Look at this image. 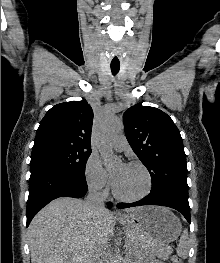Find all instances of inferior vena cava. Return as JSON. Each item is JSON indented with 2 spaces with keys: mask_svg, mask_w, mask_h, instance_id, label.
Instances as JSON below:
<instances>
[{
  "mask_svg": "<svg viewBox=\"0 0 220 263\" xmlns=\"http://www.w3.org/2000/svg\"><path fill=\"white\" fill-rule=\"evenodd\" d=\"M105 196L102 193L101 185H92L89 188L88 196L86 198V204L88 210L91 213H97L105 210L104 205ZM93 263H103V258L100 254H96L92 257Z\"/></svg>",
  "mask_w": 220,
  "mask_h": 263,
  "instance_id": "obj_1",
  "label": "inferior vena cava"
}]
</instances>
